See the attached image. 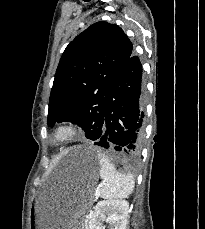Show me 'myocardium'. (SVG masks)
I'll use <instances>...</instances> for the list:
<instances>
[{"instance_id":"myocardium-1","label":"myocardium","mask_w":205,"mask_h":229,"mask_svg":"<svg viewBox=\"0 0 205 229\" xmlns=\"http://www.w3.org/2000/svg\"><path fill=\"white\" fill-rule=\"evenodd\" d=\"M78 134V126L72 122L61 123L53 130L50 142L53 145H62L72 139Z\"/></svg>"}]
</instances>
